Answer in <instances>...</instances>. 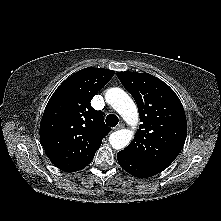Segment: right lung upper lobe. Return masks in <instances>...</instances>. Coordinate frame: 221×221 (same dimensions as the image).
<instances>
[{"mask_svg":"<svg viewBox=\"0 0 221 221\" xmlns=\"http://www.w3.org/2000/svg\"><path fill=\"white\" fill-rule=\"evenodd\" d=\"M114 71L88 67L67 78L48 101L40 124V139L51 162L74 172L86 167L111 128L91 100Z\"/></svg>","mask_w":221,"mask_h":221,"instance_id":"1","label":"right lung upper lobe"}]
</instances>
